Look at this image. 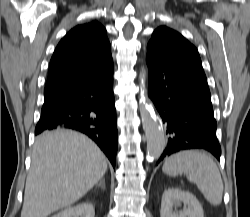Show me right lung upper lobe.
<instances>
[{
  "mask_svg": "<svg viewBox=\"0 0 250 217\" xmlns=\"http://www.w3.org/2000/svg\"><path fill=\"white\" fill-rule=\"evenodd\" d=\"M112 64L105 28L98 22L78 25L54 51L44 95L93 78Z\"/></svg>",
  "mask_w": 250,
  "mask_h": 217,
  "instance_id": "1",
  "label": "right lung upper lobe"
}]
</instances>
